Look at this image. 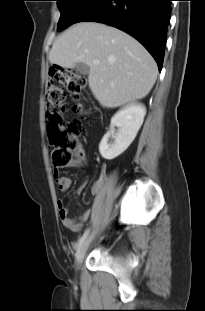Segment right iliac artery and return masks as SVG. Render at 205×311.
Segmentation results:
<instances>
[{"instance_id":"obj_1","label":"right iliac artery","mask_w":205,"mask_h":311,"mask_svg":"<svg viewBox=\"0 0 205 311\" xmlns=\"http://www.w3.org/2000/svg\"><path fill=\"white\" fill-rule=\"evenodd\" d=\"M89 230H86L83 235L80 237V239L78 240V245H80L88 236Z\"/></svg>"}]
</instances>
